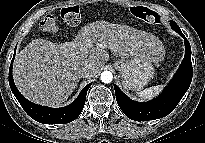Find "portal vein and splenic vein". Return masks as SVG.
<instances>
[{
	"mask_svg": "<svg viewBox=\"0 0 205 143\" xmlns=\"http://www.w3.org/2000/svg\"><path fill=\"white\" fill-rule=\"evenodd\" d=\"M97 46H98V47H101V48H107V45H106V44H103V43L98 44Z\"/></svg>",
	"mask_w": 205,
	"mask_h": 143,
	"instance_id": "1",
	"label": "portal vein and splenic vein"
}]
</instances>
